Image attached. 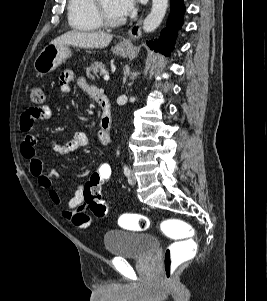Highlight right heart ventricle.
<instances>
[{
  "label": "right heart ventricle",
  "mask_w": 267,
  "mask_h": 301,
  "mask_svg": "<svg viewBox=\"0 0 267 301\" xmlns=\"http://www.w3.org/2000/svg\"><path fill=\"white\" fill-rule=\"evenodd\" d=\"M68 21L78 31L92 32L102 28L97 18L94 0H68Z\"/></svg>",
  "instance_id": "e07e8e85"
}]
</instances>
